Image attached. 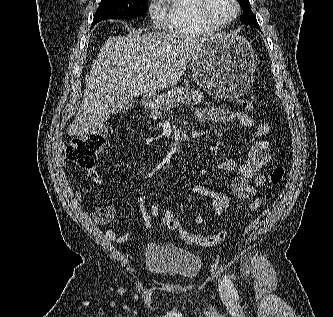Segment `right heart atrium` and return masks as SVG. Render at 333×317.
Listing matches in <instances>:
<instances>
[{"label":"right heart atrium","mask_w":333,"mask_h":317,"mask_svg":"<svg viewBox=\"0 0 333 317\" xmlns=\"http://www.w3.org/2000/svg\"><path fill=\"white\" fill-rule=\"evenodd\" d=\"M148 14L155 26H160L162 24L161 0L149 1Z\"/></svg>","instance_id":"d8ad5b80"}]
</instances>
